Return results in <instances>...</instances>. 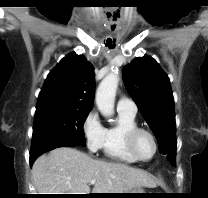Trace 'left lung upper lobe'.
<instances>
[{
  "instance_id": "obj_1",
  "label": "left lung upper lobe",
  "mask_w": 208,
  "mask_h": 198,
  "mask_svg": "<svg viewBox=\"0 0 208 198\" xmlns=\"http://www.w3.org/2000/svg\"><path fill=\"white\" fill-rule=\"evenodd\" d=\"M125 86L154 133L159 151L175 166L174 99L168 76L149 56L135 58L123 68Z\"/></svg>"
}]
</instances>
